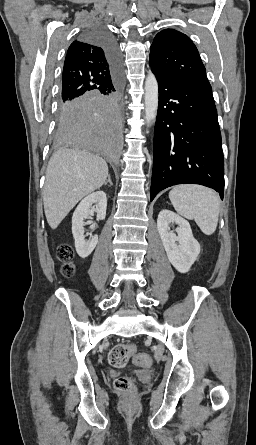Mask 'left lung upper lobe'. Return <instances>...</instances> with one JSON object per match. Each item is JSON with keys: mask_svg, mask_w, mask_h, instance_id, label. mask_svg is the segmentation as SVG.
Masks as SVG:
<instances>
[{"mask_svg": "<svg viewBox=\"0 0 256 445\" xmlns=\"http://www.w3.org/2000/svg\"><path fill=\"white\" fill-rule=\"evenodd\" d=\"M149 65L155 73L175 75L191 85L212 91L196 46L179 31L165 29L155 36Z\"/></svg>", "mask_w": 256, "mask_h": 445, "instance_id": "left-lung-upper-lobe-1", "label": "left lung upper lobe"}]
</instances>
